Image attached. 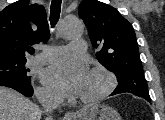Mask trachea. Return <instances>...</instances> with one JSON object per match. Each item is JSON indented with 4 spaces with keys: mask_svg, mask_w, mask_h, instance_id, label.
I'll use <instances>...</instances> for the list:
<instances>
[{
    "mask_svg": "<svg viewBox=\"0 0 165 120\" xmlns=\"http://www.w3.org/2000/svg\"><path fill=\"white\" fill-rule=\"evenodd\" d=\"M61 3L62 0H52L51 2V7H50V24L52 28L55 27L57 24L59 17H60V12H61Z\"/></svg>",
    "mask_w": 165,
    "mask_h": 120,
    "instance_id": "obj_1",
    "label": "trachea"
}]
</instances>
